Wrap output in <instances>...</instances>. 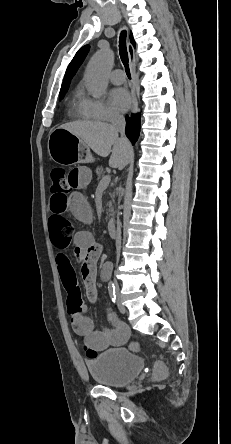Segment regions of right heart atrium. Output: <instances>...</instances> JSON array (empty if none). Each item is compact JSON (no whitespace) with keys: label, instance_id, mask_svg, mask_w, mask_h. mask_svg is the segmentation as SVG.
Returning a JSON list of instances; mask_svg holds the SVG:
<instances>
[{"label":"right heart atrium","instance_id":"d8ad5b80","mask_svg":"<svg viewBox=\"0 0 231 444\" xmlns=\"http://www.w3.org/2000/svg\"><path fill=\"white\" fill-rule=\"evenodd\" d=\"M83 108L90 118L97 120H111L119 116L116 110L100 98L84 97Z\"/></svg>","mask_w":231,"mask_h":444}]
</instances>
